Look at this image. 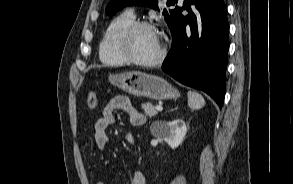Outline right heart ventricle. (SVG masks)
Here are the masks:
<instances>
[{
	"mask_svg": "<svg viewBox=\"0 0 293 184\" xmlns=\"http://www.w3.org/2000/svg\"><path fill=\"white\" fill-rule=\"evenodd\" d=\"M133 21V15L123 13L109 23L99 43V58L103 64L115 67L127 63L118 51L117 41L123 29Z\"/></svg>",
	"mask_w": 293,
	"mask_h": 184,
	"instance_id": "obj_1",
	"label": "right heart ventricle"
}]
</instances>
